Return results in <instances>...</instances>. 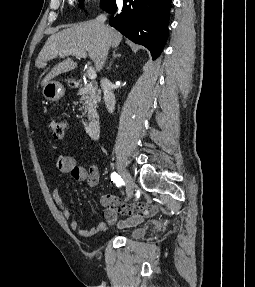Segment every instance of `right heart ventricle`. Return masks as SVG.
<instances>
[{
	"label": "right heart ventricle",
	"instance_id": "1",
	"mask_svg": "<svg viewBox=\"0 0 255 287\" xmlns=\"http://www.w3.org/2000/svg\"><path fill=\"white\" fill-rule=\"evenodd\" d=\"M123 48H135V47H123Z\"/></svg>",
	"mask_w": 255,
	"mask_h": 287
}]
</instances>
